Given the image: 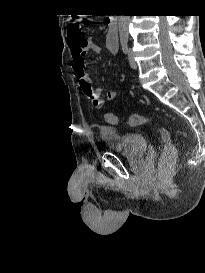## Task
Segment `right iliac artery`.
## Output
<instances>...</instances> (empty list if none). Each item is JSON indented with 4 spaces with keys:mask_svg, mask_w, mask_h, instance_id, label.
I'll return each mask as SVG.
<instances>
[{
    "mask_svg": "<svg viewBox=\"0 0 205 273\" xmlns=\"http://www.w3.org/2000/svg\"><path fill=\"white\" fill-rule=\"evenodd\" d=\"M121 45H122V50H123L124 54H128L129 48H128L127 42H123Z\"/></svg>",
    "mask_w": 205,
    "mask_h": 273,
    "instance_id": "right-iliac-artery-1",
    "label": "right iliac artery"
}]
</instances>
